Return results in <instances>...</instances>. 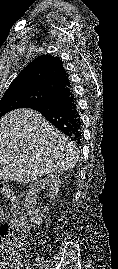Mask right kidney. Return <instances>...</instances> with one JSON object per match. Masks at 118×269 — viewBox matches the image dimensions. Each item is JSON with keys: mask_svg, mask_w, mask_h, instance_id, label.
<instances>
[{"mask_svg": "<svg viewBox=\"0 0 118 269\" xmlns=\"http://www.w3.org/2000/svg\"><path fill=\"white\" fill-rule=\"evenodd\" d=\"M60 185L61 179L59 175L54 174H49L46 177L41 178L40 180L31 184L25 198V205L26 209L28 210V215L31 222L35 224L41 223L46 213L48 212L47 206L41 208L36 206L39 192L48 187L50 200H53L58 194Z\"/></svg>", "mask_w": 118, "mask_h": 269, "instance_id": "right-kidney-1", "label": "right kidney"}]
</instances>
